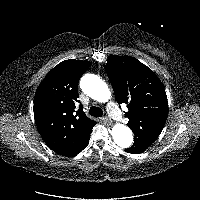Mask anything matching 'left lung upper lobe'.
Listing matches in <instances>:
<instances>
[{
  "label": "left lung upper lobe",
  "mask_w": 200,
  "mask_h": 200,
  "mask_svg": "<svg viewBox=\"0 0 200 200\" xmlns=\"http://www.w3.org/2000/svg\"><path fill=\"white\" fill-rule=\"evenodd\" d=\"M106 71L116 101L126 103L128 126L134 146L149 147L161 133L168 113V101L160 79L144 64L130 56H109Z\"/></svg>",
  "instance_id": "5c2ea615"
}]
</instances>
